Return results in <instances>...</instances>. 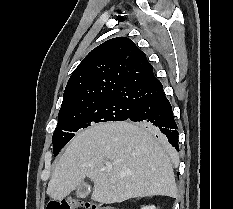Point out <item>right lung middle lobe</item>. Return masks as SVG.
I'll use <instances>...</instances> for the list:
<instances>
[{
  "label": "right lung middle lobe",
  "instance_id": "1",
  "mask_svg": "<svg viewBox=\"0 0 233 209\" xmlns=\"http://www.w3.org/2000/svg\"><path fill=\"white\" fill-rule=\"evenodd\" d=\"M137 106V104L125 100L103 99L60 114L57 127L53 133L54 156L58 155L62 147L75 136V132L79 129L99 122L127 120ZM140 125L153 129L145 123H140Z\"/></svg>",
  "mask_w": 233,
  "mask_h": 209
}]
</instances>
